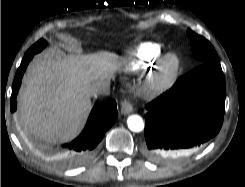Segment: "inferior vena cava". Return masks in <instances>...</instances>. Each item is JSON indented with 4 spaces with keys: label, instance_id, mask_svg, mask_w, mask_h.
<instances>
[{
    "label": "inferior vena cava",
    "instance_id": "inferior-vena-cava-1",
    "mask_svg": "<svg viewBox=\"0 0 245 187\" xmlns=\"http://www.w3.org/2000/svg\"><path fill=\"white\" fill-rule=\"evenodd\" d=\"M91 96L97 97L98 95H109L110 94V82L99 81L95 83L90 91Z\"/></svg>",
    "mask_w": 245,
    "mask_h": 187
}]
</instances>
